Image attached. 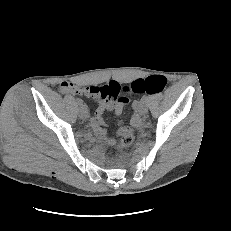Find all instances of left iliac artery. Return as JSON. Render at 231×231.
<instances>
[{
    "label": "left iliac artery",
    "mask_w": 231,
    "mask_h": 231,
    "mask_svg": "<svg viewBox=\"0 0 231 231\" xmlns=\"http://www.w3.org/2000/svg\"><path fill=\"white\" fill-rule=\"evenodd\" d=\"M148 99H149V97L145 95V96L142 97L141 100H142L143 102H146V101H148Z\"/></svg>",
    "instance_id": "1"
}]
</instances>
